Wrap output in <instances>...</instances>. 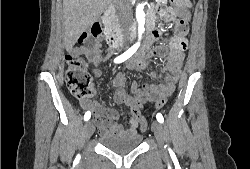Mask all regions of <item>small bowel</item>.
I'll use <instances>...</instances> for the list:
<instances>
[{
  "label": "small bowel",
  "mask_w": 250,
  "mask_h": 169,
  "mask_svg": "<svg viewBox=\"0 0 250 169\" xmlns=\"http://www.w3.org/2000/svg\"><path fill=\"white\" fill-rule=\"evenodd\" d=\"M161 13L164 14L165 10H162ZM156 15V11L150 13L148 22L152 23ZM176 16L177 22L180 20H184L185 22L189 21L190 12L188 6H177ZM149 45L150 43H145L143 48L126 63L125 67L129 70H144L150 65L153 59L163 60L164 66L160 72L152 73V76L157 78L156 83H145L140 86L136 82H133L131 86L132 95H129L125 90V75L123 72L117 73L111 82V87L114 90L113 102L126 107L129 110V114L131 110L130 103H147L146 100L149 95H157V91H170V95H172L182 74V66L187 47V42L182 34L172 40L170 47L158 46L146 53ZM72 54L78 58L80 64L84 67L88 66V64L98 65L103 60V56L100 54L97 45L91 48L76 47L73 49ZM94 74L99 76L100 71L95 69ZM79 101L83 109L93 113L95 122L100 126L103 134L109 132H135L139 122V120H135V115H130L128 123L123 126L117 123L119 113L116 110L107 108L101 103L87 98L79 99Z\"/></svg>",
  "instance_id": "obj_1"
}]
</instances>
